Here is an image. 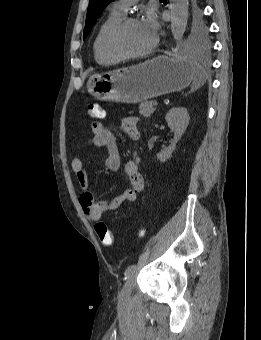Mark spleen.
<instances>
[{"label":"spleen","mask_w":261,"mask_h":340,"mask_svg":"<svg viewBox=\"0 0 261 340\" xmlns=\"http://www.w3.org/2000/svg\"><path fill=\"white\" fill-rule=\"evenodd\" d=\"M204 83V78H203V74L200 68H196L195 70V76L193 78V85L192 88L194 90L200 88Z\"/></svg>","instance_id":"1"}]
</instances>
